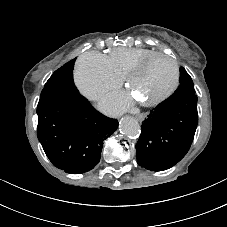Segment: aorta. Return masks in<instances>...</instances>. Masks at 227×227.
Returning a JSON list of instances; mask_svg holds the SVG:
<instances>
[{
  "label": "aorta",
  "mask_w": 227,
  "mask_h": 227,
  "mask_svg": "<svg viewBox=\"0 0 227 227\" xmlns=\"http://www.w3.org/2000/svg\"><path fill=\"white\" fill-rule=\"evenodd\" d=\"M120 131L129 138H137L140 135L138 121L132 116H125L120 122Z\"/></svg>",
  "instance_id": "aorta-1"
}]
</instances>
